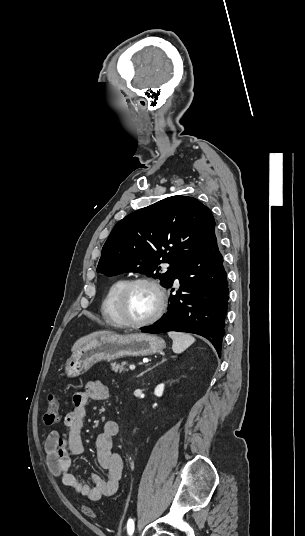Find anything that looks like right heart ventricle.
Instances as JSON below:
<instances>
[{
    "instance_id": "obj_1",
    "label": "right heart ventricle",
    "mask_w": 305,
    "mask_h": 536,
    "mask_svg": "<svg viewBox=\"0 0 305 536\" xmlns=\"http://www.w3.org/2000/svg\"><path fill=\"white\" fill-rule=\"evenodd\" d=\"M125 278H119L113 281L110 286L108 287L105 296L102 300L101 304V316L102 319L110 326L113 327H121L122 321L120 317L118 316L117 309H116V299L117 295L122 288V286L126 283Z\"/></svg>"
}]
</instances>
